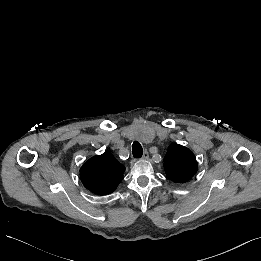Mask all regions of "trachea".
<instances>
[{"mask_svg":"<svg viewBox=\"0 0 261 261\" xmlns=\"http://www.w3.org/2000/svg\"><path fill=\"white\" fill-rule=\"evenodd\" d=\"M132 154L134 158H141L143 155V148L139 142H134L132 145Z\"/></svg>","mask_w":261,"mask_h":261,"instance_id":"obj_1","label":"trachea"}]
</instances>
